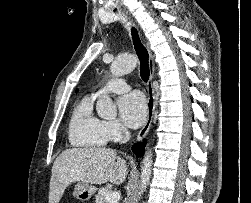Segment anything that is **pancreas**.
<instances>
[{"instance_id":"cf45deb5","label":"pancreas","mask_w":251,"mask_h":203,"mask_svg":"<svg viewBox=\"0 0 251 203\" xmlns=\"http://www.w3.org/2000/svg\"><path fill=\"white\" fill-rule=\"evenodd\" d=\"M111 192V189L108 187L100 188L99 192L95 196V203H109L106 201V196Z\"/></svg>"}]
</instances>
